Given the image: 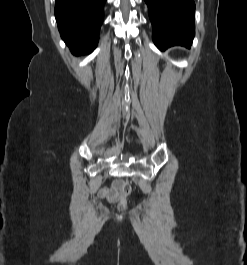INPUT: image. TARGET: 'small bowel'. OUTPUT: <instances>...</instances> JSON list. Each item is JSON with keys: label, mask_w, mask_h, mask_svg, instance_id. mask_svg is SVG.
I'll return each instance as SVG.
<instances>
[{"label": "small bowel", "mask_w": 247, "mask_h": 265, "mask_svg": "<svg viewBox=\"0 0 247 265\" xmlns=\"http://www.w3.org/2000/svg\"><path fill=\"white\" fill-rule=\"evenodd\" d=\"M121 191V182L116 181L111 187H104L100 189L98 195L99 197L109 201L115 202L120 197Z\"/></svg>", "instance_id": "small-bowel-1"}]
</instances>
